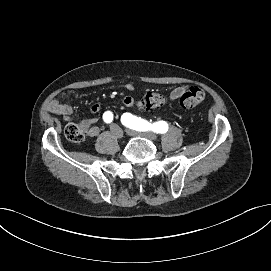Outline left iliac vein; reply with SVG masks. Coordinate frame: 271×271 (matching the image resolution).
Listing matches in <instances>:
<instances>
[{
	"instance_id": "1",
	"label": "left iliac vein",
	"mask_w": 271,
	"mask_h": 271,
	"mask_svg": "<svg viewBox=\"0 0 271 271\" xmlns=\"http://www.w3.org/2000/svg\"><path fill=\"white\" fill-rule=\"evenodd\" d=\"M126 132L132 136H142L151 141L157 140V134L154 132H137L134 130L127 129Z\"/></svg>"
}]
</instances>
